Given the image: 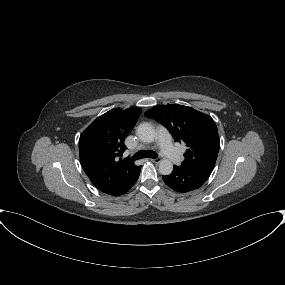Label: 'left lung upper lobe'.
<instances>
[{
  "label": "left lung upper lobe",
  "mask_w": 285,
  "mask_h": 285,
  "mask_svg": "<svg viewBox=\"0 0 285 285\" xmlns=\"http://www.w3.org/2000/svg\"><path fill=\"white\" fill-rule=\"evenodd\" d=\"M163 124L176 142L187 147L180 167L214 168L220 147L214 120L191 107L182 105L155 106L144 114Z\"/></svg>",
  "instance_id": "1"
}]
</instances>
